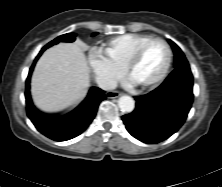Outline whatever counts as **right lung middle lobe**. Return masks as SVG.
<instances>
[{
    "instance_id": "1",
    "label": "right lung middle lobe",
    "mask_w": 222,
    "mask_h": 187,
    "mask_svg": "<svg viewBox=\"0 0 222 187\" xmlns=\"http://www.w3.org/2000/svg\"><path fill=\"white\" fill-rule=\"evenodd\" d=\"M96 34L97 33H94L93 36ZM75 37H76L75 33L64 34L55 38L53 41L49 42L46 46L51 47L55 44H58L59 42H73L75 40Z\"/></svg>"
}]
</instances>
